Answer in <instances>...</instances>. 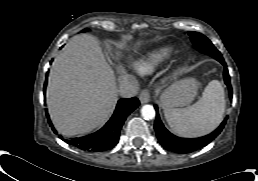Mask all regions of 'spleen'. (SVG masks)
Wrapping results in <instances>:
<instances>
[{
  "mask_svg": "<svg viewBox=\"0 0 258 181\" xmlns=\"http://www.w3.org/2000/svg\"><path fill=\"white\" fill-rule=\"evenodd\" d=\"M225 93L218 80H212L205 87L202 97L193 105L164 110L170 128L183 137H200L215 130L225 112Z\"/></svg>",
  "mask_w": 258,
  "mask_h": 181,
  "instance_id": "spleen-1",
  "label": "spleen"
}]
</instances>
